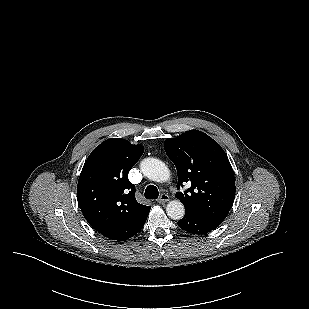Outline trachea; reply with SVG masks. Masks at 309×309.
Segmentation results:
<instances>
[{
    "mask_svg": "<svg viewBox=\"0 0 309 309\" xmlns=\"http://www.w3.org/2000/svg\"><path fill=\"white\" fill-rule=\"evenodd\" d=\"M144 195H145V198L147 199H157L159 192L156 186L149 185L147 186Z\"/></svg>",
    "mask_w": 309,
    "mask_h": 309,
    "instance_id": "obj_1",
    "label": "trachea"
}]
</instances>
